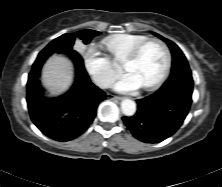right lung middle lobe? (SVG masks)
<instances>
[{
  "mask_svg": "<svg viewBox=\"0 0 222 187\" xmlns=\"http://www.w3.org/2000/svg\"><path fill=\"white\" fill-rule=\"evenodd\" d=\"M99 34L100 32L94 30H82L77 32V34H71V33L63 34L62 36L50 42L45 48L52 50L61 49L64 51L73 52L74 50L72 49V47L76 36L80 37L85 44H88L93 37Z\"/></svg>",
  "mask_w": 222,
  "mask_h": 187,
  "instance_id": "1",
  "label": "right lung middle lobe"
}]
</instances>
